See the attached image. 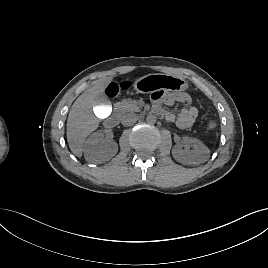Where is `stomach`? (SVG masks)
<instances>
[{"mask_svg": "<svg viewBox=\"0 0 268 268\" xmlns=\"http://www.w3.org/2000/svg\"><path fill=\"white\" fill-rule=\"evenodd\" d=\"M137 93H152L158 90L183 92L188 89L185 79L170 74H148L137 79L134 83Z\"/></svg>", "mask_w": 268, "mask_h": 268, "instance_id": "stomach-1", "label": "stomach"}]
</instances>
